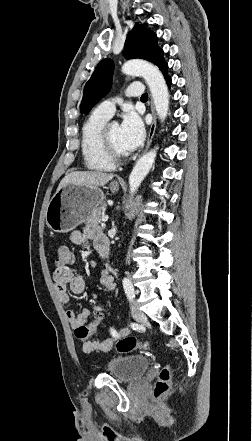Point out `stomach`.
<instances>
[{
	"instance_id": "obj_1",
	"label": "stomach",
	"mask_w": 252,
	"mask_h": 441,
	"mask_svg": "<svg viewBox=\"0 0 252 441\" xmlns=\"http://www.w3.org/2000/svg\"><path fill=\"white\" fill-rule=\"evenodd\" d=\"M110 190L117 192L119 185L111 183ZM103 200L104 193L99 187L68 184L51 198L46 210V224L53 232H69L86 221Z\"/></svg>"
}]
</instances>
